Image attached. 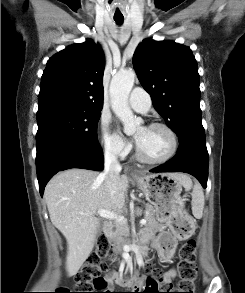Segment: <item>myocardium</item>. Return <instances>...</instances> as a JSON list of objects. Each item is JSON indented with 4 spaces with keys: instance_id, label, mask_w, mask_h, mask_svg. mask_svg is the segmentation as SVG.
<instances>
[{
    "instance_id": "obj_1",
    "label": "myocardium",
    "mask_w": 245,
    "mask_h": 293,
    "mask_svg": "<svg viewBox=\"0 0 245 293\" xmlns=\"http://www.w3.org/2000/svg\"><path fill=\"white\" fill-rule=\"evenodd\" d=\"M149 128H159V129H163L165 130L171 139V148L169 150V152L158 159H151L146 157L140 150L139 146L137 145L136 147V157L138 158V160H140L141 162L147 163V164H162L165 163L169 160H171L177 153L178 150V146H179V142H178V136L176 134V132L168 125L163 124V123H152Z\"/></svg>"
}]
</instances>
